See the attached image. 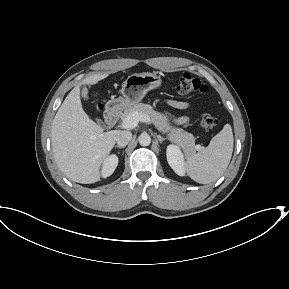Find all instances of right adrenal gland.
<instances>
[{"mask_svg":"<svg viewBox=\"0 0 289 289\" xmlns=\"http://www.w3.org/2000/svg\"><path fill=\"white\" fill-rule=\"evenodd\" d=\"M115 148L123 149L124 147L116 145Z\"/></svg>","mask_w":289,"mask_h":289,"instance_id":"obj_1","label":"right adrenal gland"}]
</instances>
